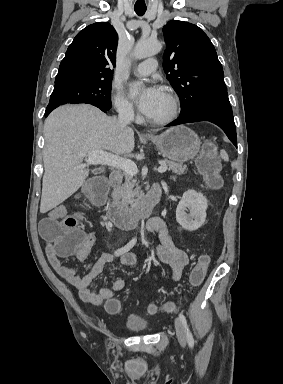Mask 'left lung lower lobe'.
Listing matches in <instances>:
<instances>
[{
  "mask_svg": "<svg viewBox=\"0 0 283 384\" xmlns=\"http://www.w3.org/2000/svg\"><path fill=\"white\" fill-rule=\"evenodd\" d=\"M199 121H210L218 125L224 130L235 147H237V135L230 105L204 107L184 116H179L167 126Z\"/></svg>",
  "mask_w": 283,
  "mask_h": 384,
  "instance_id": "0a47b994",
  "label": "left lung lower lobe"
}]
</instances>
